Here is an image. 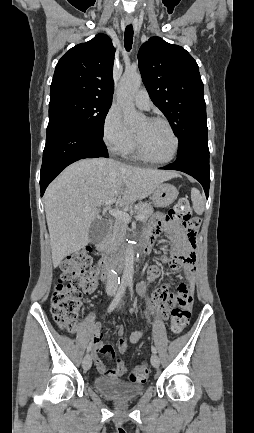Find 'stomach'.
<instances>
[{
    "label": "stomach",
    "instance_id": "stomach-1",
    "mask_svg": "<svg viewBox=\"0 0 254 433\" xmlns=\"http://www.w3.org/2000/svg\"><path fill=\"white\" fill-rule=\"evenodd\" d=\"M178 197V190L168 183H161L152 192V201L156 207H166Z\"/></svg>",
    "mask_w": 254,
    "mask_h": 433
}]
</instances>
